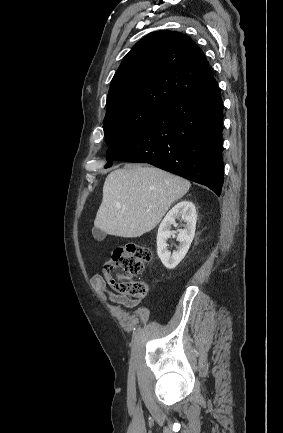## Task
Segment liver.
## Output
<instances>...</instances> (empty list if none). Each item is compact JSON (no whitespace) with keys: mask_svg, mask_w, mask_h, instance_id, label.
I'll list each match as a JSON object with an SVG mask.
<instances>
[{"mask_svg":"<svg viewBox=\"0 0 283 433\" xmlns=\"http://www.w3.org/2000/svg\"><path fill=\"white\" fill-rule=\"evenodd\" d=\"M189 188V180L155 166L117 168L105 178L94 225L115 237H142Z\"/></svg>","mask_w":283,"mask_h":433,"instance_id":"obj_1","label":"liver"}]
</instances>
